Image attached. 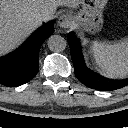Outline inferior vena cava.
I'll return each instance as SVG.
<instances>
[{"label": "inferior vena cava", "instance_id": "1", "mask_svg": "<svg viewBox=\"0 0 128 128\" xmlns=\"http://www.w3.org/2000/svg\"><path fill=\"white\" fill-rule=\"evenodd\" d=\"M37 18L41 21H47L52 18V12L46 7L40 8L37 12Z\"/></svg>", "mask_w": 128, "mask_h": 128}]
</instances>
